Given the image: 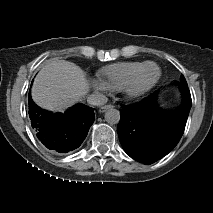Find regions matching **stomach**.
Masks as SVG:
<instances>
[{
  "label": "stomach",
  "mask_w": 213,
  "mask_h": 213,
  "mask_svg": "<svg viewBox=\"0 0 213 213\" xmlns=\"http://www.w3.org/2000/svg\"><path fill=\"white\" fill-rule=\"evenodd\" d=\"M161 103L163 105H168L169 101H167V99L164 97V98L161 99Z\"/></svg>",
  "instance_id": "0dacf381"
}]
</instances>
